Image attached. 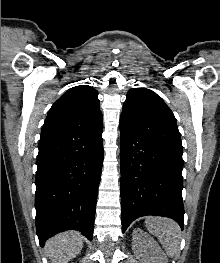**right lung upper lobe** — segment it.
Returning <instances> with one entry per match:
<instances>
[{
    "label": "right lung upper lobe",
    "mask_w": 220,
    "mask_h": 263,
    "mask_svg": "<svg viewBox=\"0 0 220 263\" xmlns=\"http://www.w3.org/2000/svg\"><path fill=\"white\" fill-rule=\"evenodd\" d=\"M97 96L88 85L69 89L49 110L40 140L73 139L103 128Z\"/></svg>",
    "instance_id": "cb5924a9"
}]
</instances>
